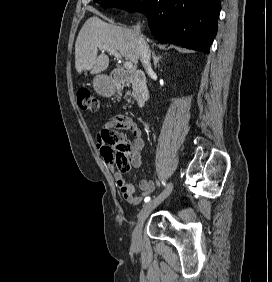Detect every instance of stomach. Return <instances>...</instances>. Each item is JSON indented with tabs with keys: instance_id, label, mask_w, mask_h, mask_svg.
Returning a JSON list of instances; mask_svg holds the SVG:
<instances>
[{
	"instance_id": "1",
	"label": "stomach",
	"mask_w": 272,
	"mask_h": 282,
	"mask_svg": "<svg viewBox=\"0 0 272 282\" xmlns=\"http://www.w3.org/2000/svg\"><path fill=\"white\" fill-rule=\"evenodd\" d=\"M96 91L102 94H107L110 92L111 87L108 77L105 75H97L93 81Z\"/></svg>"
}]
</instances>
